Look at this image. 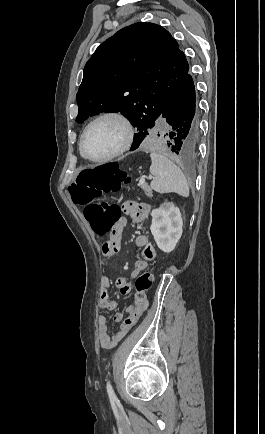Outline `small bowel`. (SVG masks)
<instances>
[{
    "mask_svg": "<svg viewBox=\"0 0 265 434\" xmlns=\"http://www.w3.org/2000/svg\"><path fill=\"white\" fill-rule=\"evenodd\" d=\"M124 216L119 221V223L114 227L110 238L102 245V258L101 265L103 267L108 265L109 260L120 251V239L124 226L128 221H131L134 225H141L148 218L150 213V206L147 204H139L134 201H126L123 203ZM136 246L141 250L142 259L135 263L134 270L130 276L131 280L148 267V262L153 260L156 256V250L151 243L149 237L145 234H140L135 239ZM111 280L103 275L100 281V291H99V307L103 310L114 311L118 307L117 301L113 300L110 296ZM115 285L122 295H129L132 291L131 285L128 280L124 277H118L115 280ZM135 311V307L130 305L125 308L124 312H116L112 319L114 322H121L127 316ZM97 326H98V340L102 349L110 350L113 349L118 342L129 332L127 330L126 334H122L120 339H117V332H120V328L113 334H109V324L108 318L104 314H99L97 316Z\"/></svg>",
    "mask_w": 265,
    "mask_h": 434,
    "instance_id": "c3829d8e",
    "label": "small bowel"
}]
</instances>
